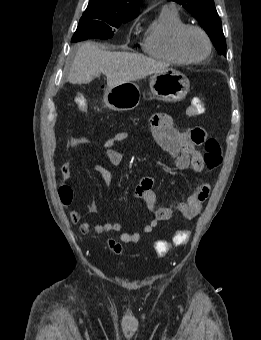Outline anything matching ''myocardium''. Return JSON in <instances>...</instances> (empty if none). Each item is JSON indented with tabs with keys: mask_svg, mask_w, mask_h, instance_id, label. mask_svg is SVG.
I'll use <instances>...</instances> for the list:
<instances>
[{
	"mask_svg": "<svg viewBox=\"0 0 261 340\" xmlns=\"http://www.w3.org/2000/svg\"><path fill=\"white\" fill-rule=\"evenodd\" d=\"M190 30H196L198 32H200L203 37L206 40L207 43V52L206 54L200 58V59H192L190 58L185 51L183 50V38L185 36V34L190 31ZM174 47L176 52L179 54V56L181 58H183L185 61H187L188 63H192V64H199L204 62L211 54L212 49H213V44L211 41L210 36L208 35V33L206 32L205 29H203L202 27L198 26V25H194V24H185L184 26H182L176 33L175 38H174Z\"/></svg>",
	"mask_w": 261,
	"mask_h": 340,
	"instance_id": "myocardium-1",
	"label": "myocardium"
}]
</instances>
